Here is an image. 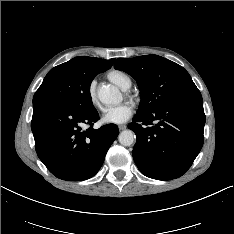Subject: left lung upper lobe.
I'll use <instances>...</instances> for the list:
<instances>
[{"mask_svg":"<svg viewBox=\"0 0 234 234\" xmlns=\"http://www.w3.org/2000/svg\"><path fill=\"white\" fill-rule=\"evenodd\" d=\"M114 67L137 81L141 101L135 116L149 114L171 99L197 89L182 66L158 55L118 58Z\"/></svg>","mask_w":234,"mask_h":234,"instance_id":"left-lung-upper-lobe-1","label":"left lung upper lobe"}]
</instances>
